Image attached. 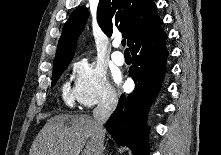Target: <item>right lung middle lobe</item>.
Returning a JSON list of instances; mask_svg holds the SVG:
<instances>
[{
    "mask_svg": "<svg viewBox=\"0 0 221 155\" xmlns=\"http://www.w3.org/2000/svg\"><path fill=\"white\" fill-rule=\"evenodd\" d=\"M67 66L68 64L53 69L52 86H54V84L56 83V81L61 76V74L63 73V71L66 69Z\"/></svg>",
    "mask_w": 221,
    "mask_h": 155,
    "instance_id": "dd1d6c3e",
    "label": "right lung middle lobe"
}]
</instances>
